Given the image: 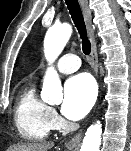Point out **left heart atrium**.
Segmentation results:
<instances>
[{"label":"left heart atrium","mask_w":131,"mask_h":151,"mask_svg":"<svg viewBox=\"0 0 131 151\" xmlns=\"http://www.w3.org/2000/svg\"><path fill=\"white\" fill-rule=\"evenodd\" d=\"M96 97V85L87 73L69 78L64 87L62 113L69 119L78 120L85 116Z\"/></svg>","instance_id":"left-heart-atrium-1"}]
</instances>
